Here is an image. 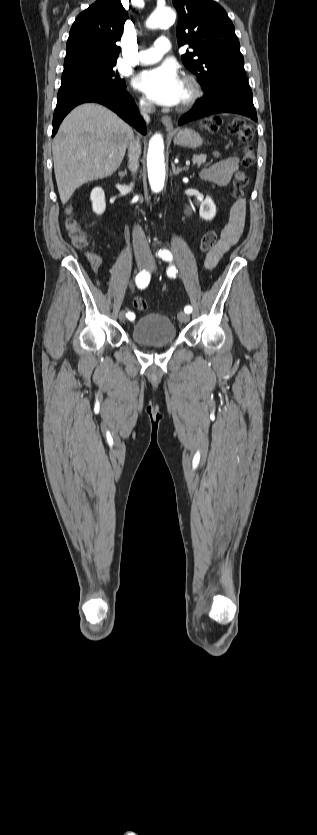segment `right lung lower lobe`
<instances>
[{
    "label": "right lung lower lobe",
    "mask_w": 317,
    "mask_h": 835,
    "mask_svg": "<svg viewBox=\"0 0 317 835\" xmlns=\"http://www.w3.org/2000/svg\"><path fill=\"white\" fill-rule=\"evenodd\" d=\"M85 102L100 103L117 113L140 133L146 134V125L126 88L99 86L76 91L59 97L53 116L52 137L58 131L64 117L77 105Z\"/></svg>",
    "instance_id": "obj_1"
}]
</instances>
